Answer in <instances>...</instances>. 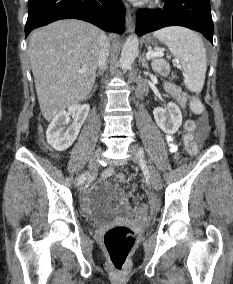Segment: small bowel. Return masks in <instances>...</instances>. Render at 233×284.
Masks as SVG:
<instances>
[{
	"label": "small bowel",
	"instance_id": "small-bowel-1",
	"mask_svg": "<svg viewBox=\"0 0 233 284\" xmlns=\"http://www.w3.org/2000/svg\"><path fill=\"white\" fill-rule=\"evenodd\" d=\"M166 90L173 96L175 97L176 101L184 106L187 102V95L184 94L177 86L172 85V84H167L166 85ZM186 124H190L196 127L198 129V133L204 135L207 132V127H208V121L206 117H202L199 121V124L197 125L194 121H188ZM166 140L168 142V145L171 149V151L176 152L178 147L174 143L173 137L171 135L166 136Z\"/></svg>",
	"mask_w": 233,
	"mask_h": 284
}]
</instances>
